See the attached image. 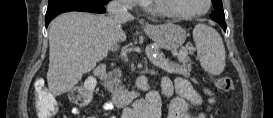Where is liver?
<instances>
[{
    "mask_svg": "<svg viewBox=\"0 0 273 118\" xmlns=\"http://www.w3.org/2000/svg\"><path fill=\"white\" fill-rule=\"evenodd\" d=\"M132 19L131 15L68 12L53 20L49 29V91L54 96L70 91L109 50L116 49L117 42L126 39L125 32L116 26Z\"/></svg>",
    "mask_w": 273,
    "mask_h": 118,
    "instance_id": "liver-1",
    "label": "liver"
}]
</instances>
